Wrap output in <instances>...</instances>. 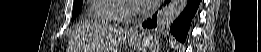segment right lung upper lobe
Returning a JSON list of instances; mask_svg holds the SVG:
<instances>
[{"instance_id": "obj_1", "label": "right lung upper lobe", "mask_w": 261, "mask_h": 52, "mask_svg": "<svg viewBox=\"0 0 261 52\" xmlns=\"http://www.w3.org/2000/svg\"><path fill=\"white\" fill-rule=\"evenodd\" d=\"M77 1H79V0H74V3H76Z\"/></svg>"}]
</instances>
